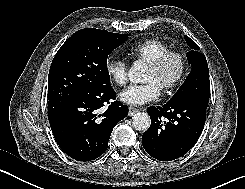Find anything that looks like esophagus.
Here are the masks:
<instances>
[{
  "label": "esophagus",
  "mask_w": 245,
  "mask_h": 189,
  "mask_svg": "<svg viewBox=\"0 0 245 189\" xmlns=\"http://www.w3.org/2000/svg\"><path fill=\"white\" fill-rule=\"evenodd\" d=\"M139 110L136 107L130 106L129 107V116L134 115L135 113H137Z\"/></svg>",
  "instance_id": "esophagus-1"
}]
</instances>
